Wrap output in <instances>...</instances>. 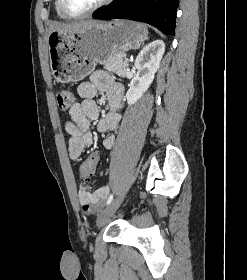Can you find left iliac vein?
Listing matches in <instances>:
<instances>
[{"mask_svg":"<svg viewBox=\"0 0 247 280\" xmlns=\"http://www.w3.org/2000/svg\"><path fill=\"white\" fill-rule=\"evenodd\" d=\"M124 195H121L117 198H115L104 210L103 212L99 215L98 220H97V225L98 226H103L109 218L116 212L118 207L120 206L122 199Z\"/></svg>","mask_w":247,"mask_h":280,"instance_id":"obj_1","label":"left iliac vein"}]
</instances>
